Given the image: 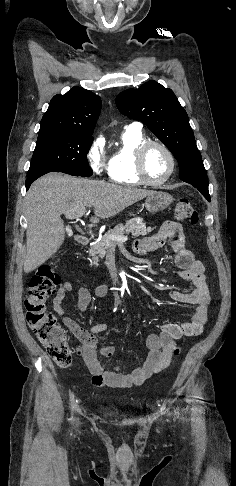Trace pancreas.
<instances>
[{"label":"pancreas","mask_w":236,"mask_h":486,"mask_svg":"<svg viewBox=\"0 0 236 486\" xmlns=\"http://www.w3.org/2000/svg\"><path fill=\"white\" fill-rule=\"evenodd\" d=\"M153 229L151 227H146L145 222L143 220H139L136 218L131 219L126 225H117L114 229L109 230L106 234L103 235L100 241L96 242L90 248V256L92 257L91 263L97 265L98 264V257L104 258L106 256L107 250L110 247H115L117 242L112 241L110 238L112 236L118 235H129L131 234L133 237L144 236L150 233Z\"/></svg>","instance_id":"cf45deb5"}]
</instances>
